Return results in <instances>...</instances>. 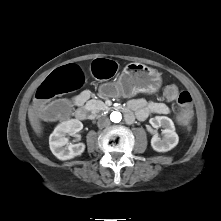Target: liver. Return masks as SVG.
I'll return each mask as SVG.
<instances>
[{
    "mask_svg": "<svg viewBox=\"0 0 221 221\" xmlns=\"http://www.w3.org/2000/svg\"><path fill=\"white\" fill-rule=\"evenodd\" d=\"M40 117H41L40 110L35 105L30 106L28 109V118H29L30 124L34 132L38 136L41 135L42 129H43L41 122H40Z\"/></svg>",
    "mask_w": 221,
    "mask_h": 221,
    "instance_id": "liver-1",
    "label": "liver"
}]
</instances>
